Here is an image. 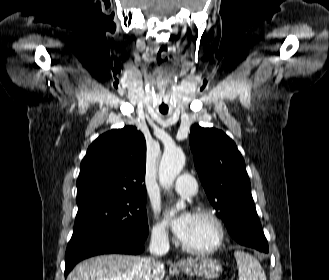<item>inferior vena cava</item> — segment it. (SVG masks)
Instances as JSON below:
<instances>
[{"label": "inferior vena cava", "instance_id": "obj_1", "mask_svg": "<svg viewBox=\"0 0 329 280\" xmlns=\"http://www.w3.org/2000/svg\"><path fill=\"white\" fill-rule=\"evenodd\" d=\"M168 234L164 230H155L152 232L149 251L153 257L142 258L141 276L143 280H152L153 271L159 269L162 263L157 260L158 256H163L169 251Z\"/></svg>", "mask_w": 329, "mask_h": 280}]
</instances>
